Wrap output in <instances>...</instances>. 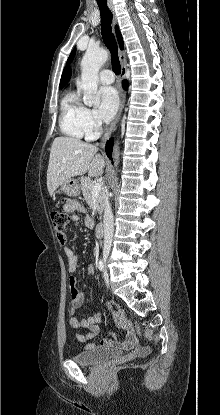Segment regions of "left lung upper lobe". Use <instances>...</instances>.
Returning a JSON list of instances; mask_svg holds the SVG:
<instances>
[{
  "label": "left lung upper lobe",
  "mask_w": 220,
  "mask_h": 415,
  "mask_svg": "<svg viewBox=\"0 0 220 415\" xmlns=\"http://www.w3.org/2000/svg\"><path fill=\"white\" fill-rule=\"evenodd\" d=\"M75 50L76 49H74L72 52H71V54H70V56H69V58H68V61H67V63L69 64L72 60H73V57L75 56Z\"/></svg>",
  "instance_id": "obj_1"
}]
</instances>
